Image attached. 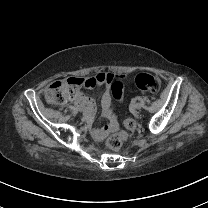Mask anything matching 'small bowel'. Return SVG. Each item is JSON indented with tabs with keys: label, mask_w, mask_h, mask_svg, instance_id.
<instances>
[{
	"label": "small bowel",
	"mask_w": 208,
	"mask_h": 208,
	"mask_svg": "<svg viewBox=\"0 0 208 208\" xmlns=\"http://www.w3.org/2000/svg\"><path fill=\"white\" fill-rule=\"evenodd\" d=\"M73 101L76 104H80L85 107V111H84V115L86 117L85 123L87 125H90L94 119V106L92 100L87 96L83 95L81 92H78L74 96ZM101 104H102L103 114L109 120V124L97 130L101 134H94L92 130H89L87 132V135L89 137H92L94 141L104 140L106 138V135L116 127L115 118L111 112L110 91L108 87H106V89L102 94Z\"/></svg>",
	"instance_id": "1"
}]
</instances>
